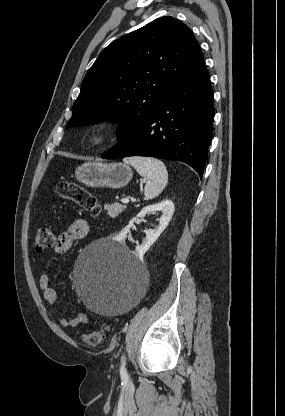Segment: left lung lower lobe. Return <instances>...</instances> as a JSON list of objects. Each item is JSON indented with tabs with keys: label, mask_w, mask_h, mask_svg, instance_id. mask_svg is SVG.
<instances>
[{
	"label": "left lung lower lobe",
	"mask_w": 285,
	"mask_h": 416,
	"mask_svg": "<svg viewBox=\"0 0 285 416\" xmlns=\"http://www.w3.org/2000/svg\"><path fill=\"white\" fill-rule=\"evenodd\" d=\"M213 91L204 60L102 158L148 156L187 163L202 178L213 132Z\"/></svg>",
	"instance_id": "obj_1"
}]
</instances>
